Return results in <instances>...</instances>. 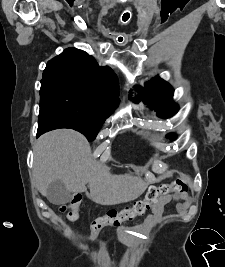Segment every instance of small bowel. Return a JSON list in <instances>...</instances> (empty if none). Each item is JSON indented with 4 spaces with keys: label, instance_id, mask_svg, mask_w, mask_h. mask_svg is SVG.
Returning <instances> with one entry per match:
<instances>
[{
    "label": "small bowel",
    "instance_id": "small-bowel-1",
    "mask_svg": "<svg viewBox=\"0 0 225 267\" xmlns=\"http://www.w3.org/2000/svg\"><path fill=\"white\" fill-rule=\"evenodd\" d=\"M171 200L175 201L174 205V210L176 212L182 213L186 211L190 204H191V197L188 193H178V194H173L171 196L162 198L159 200L153 207V213L150 216V220H155L157 219L163 212L165 205L170 202ZM92 238H96L97 234H94L93 232L91 233Z\"/></svg>",
    "mask_w": 225,
    "mask_h": 267
}]
</instances>
